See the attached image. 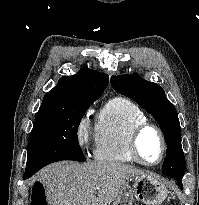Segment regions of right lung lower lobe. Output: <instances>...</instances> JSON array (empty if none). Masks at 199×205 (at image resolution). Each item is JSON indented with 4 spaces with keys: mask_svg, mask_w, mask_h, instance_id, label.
<instances>
[{
    "mask_svg": "<svg viewBox=\"0 0 199 205\" xmlns=\"http://www.w3.org/2000/svg\"><path fill=\"white\" fill-rule=\"evenodd\" d=\"M29 177H31V176H29V175L23 176L24 179H27Z\"/></svg>",
    "mask_w": 199,
    "mask_h": 205,
    "instance_id": "98d812e1",
    "label": "right lung lower lobe"
}]
</instances>
